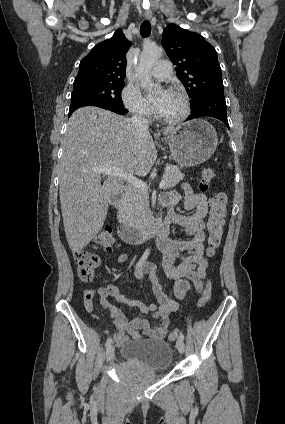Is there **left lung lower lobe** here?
<instances>
[{
    "label": "left lung lower lobe",
    "mask_w": 285,
    "mask_h": 424,
    "mask_svg": "<svg viewBox=\"0 0 285 424\" xmlns=\"http://www.w3.org/2000/svg\"><path fill=\"white\" fill-rule=\"evenodd\" d=\"M191 111V115L187 120L209 116L221 120L229 128L223 91H216L202 96L191 106Z\"/></svg>",
    "instance_id": "left-lung-lower-lobe-1"
}]
</instances>
